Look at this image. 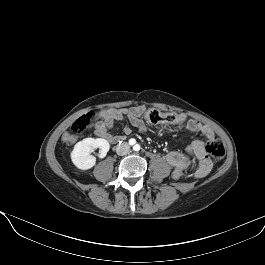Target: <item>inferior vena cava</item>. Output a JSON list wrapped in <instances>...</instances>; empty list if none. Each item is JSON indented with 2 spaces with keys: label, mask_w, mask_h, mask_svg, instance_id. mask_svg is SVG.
Masks as SVG:
<instances>
[{
  "label": "inferior vena cava",
  "mask_w": 265,
  "mask_h": 265,
  "mask_svg": "<svg viewBox=\"0 0 265 265\" xmlns=\"http://www.w3.org/2000/svg\"><path fill=\"white\" fill-rule=\"evenodd\" d=\"M130 151V146L127 142L119 143L116 146V153L120 156L126 155Z\"/></svg>",
  "instance_id": "obj_1"
}]
</instances>
